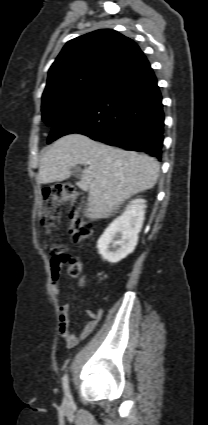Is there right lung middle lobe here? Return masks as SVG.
I'll return each instance as SVG.
<instances>
[{
	"label": "right lung middle lobe",
	"instance_id": "1",
	"mask_svg": "<svg viewBox=\"0 0 208 425\" xmlns=\"http://www.w3.org/2000/svg\"><path fill=\"white\" fill-rule=\"evenodd\" d=\"M104 92L105 89H85L42 102V119L48 126H53L61 117L95 103Z\"/></svg>",
	"mask_w": 208,
	"mask_h": 425
}]
</instances>
